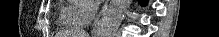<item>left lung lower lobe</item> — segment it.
Instances as JSON below:
<instances>
[{"mask_svg":"<svg viewBox=\"0 0 219 37\" xmlns=\"http://www.w3.org/2000/svg\"><path fill=\"white\" fill-rule=\"evenodd\" d=\"M139 2L142 4V5H145L147 3L146 0H139Z\"/></svg>","mask_w":219,"mask_h":37,"instance_id":"left-lung-lower-lobe-1","label":"left lung lower lobe"}]
</instances>
